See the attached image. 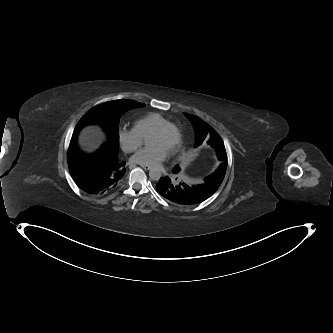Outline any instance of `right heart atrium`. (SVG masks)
Segmentation results:
<instances>
[{"instance_id": "right-heart-atrium-1", "label": "right heart atrium", "mask_w": 333, "mask_h": 333, "mask_svg": "<svg viewBox=\"0 0 333 333\" xmlns=\"http://www.w3.org/2000/svg\"><path fill=\"white\" fill-rule=\"evenodd\" d=\"M118 138L122 149L127 153L135 152L144 141V138L134 127H121Z\"/></svg>"}]
</instances>
